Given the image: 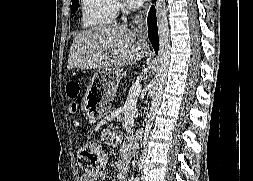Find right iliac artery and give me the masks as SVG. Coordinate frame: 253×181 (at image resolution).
Segmentation results:
<instances>
[{"mask_svg": "<svg viewBox=\"0 0 253 181\" xmlns=\"http://www.w3.org/2000/svg\"><path fill=\"white\" fill-rule=\"evenodd\" d=\"M137 164H138L139 168L141 169V168H142V163H141V161H140V160L138 161V163H137Z\"/></svg>", "mask_w": 253, "mask_h": 181, "instance_id": "82829eb1", "label": "right iliac artery"}]
</instances>
